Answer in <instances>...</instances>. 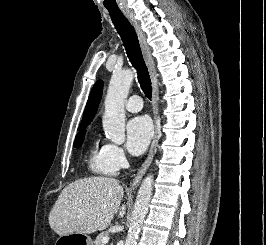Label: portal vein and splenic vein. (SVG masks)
<instances>
[{
  "label": "portal vein and splenic vein",
  "mask_w": 266,
  "mask_h": 245,
  "mask_svg": "<svg viewBox=\"0 0 266 245\" xmlns=\"http://www.w3.org/2000/svg\"><path fill=\"white\" fill-rule=\"evenodd\" d=\"M102 243L103 245H107V243H109V237H103Z\"/></svg>",
  "instance_id": "1"
}]
</instances>
